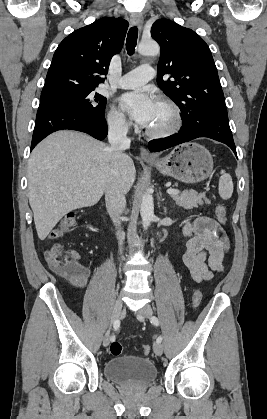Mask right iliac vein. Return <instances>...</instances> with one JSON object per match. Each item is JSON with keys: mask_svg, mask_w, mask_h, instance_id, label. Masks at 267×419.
<instances>
[{"mask_svg": "<svg viewBox=\"0 0 267 419\" xmlns=\"http://www.w3.org/2000/svg\"><path fill=\"white\" fill-rule=\"evenodd\" d=\"M123 307V302L121 298H118L113 306L112 314H111V324H113L116 320H118ZM110 342V332L107 331L104 338H103V345L108 346Z\"/></svg>", "mask_w": 267, "mask_h": 419, "instance_id": "obj_1", "label": "right iliac vein"}]
</instances>
